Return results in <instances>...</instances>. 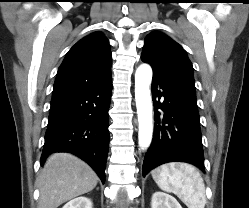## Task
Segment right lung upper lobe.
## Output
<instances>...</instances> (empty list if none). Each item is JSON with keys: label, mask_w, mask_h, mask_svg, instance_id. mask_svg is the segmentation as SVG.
I'll return each instance as SVG.
<instances>
[{"label": "right lung upper lobe", "mask_w": 249, "mask_h": 208, "mask_svg": "<svg viewBox=\"0 0 249 208\" xmlns=\"http://www.w3.org/2000/svg\"><path fill=\"white\" fill-rule=\"evenodd\" d=\"M112 56L108 39L94 32L78 41L60 65L53 95H62L98 85L111 77Z\"/></svg>", "instance_id": "1"}]
</instances>
